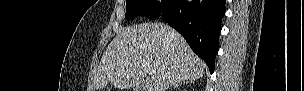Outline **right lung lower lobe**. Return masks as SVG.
I'll use <instances>...</instances> for the list:
<instances>
[{
	"label": "right lung lower lobe",
	"mask_w": 304,
	"mask_h": 91,
	"mask_svg": "<svg viewBox=\"0 0 304 91\" xmlns=\"http://www.w3.org/2000/svg\"><path fill=\"white\" fill-rule=\"evenodd\" d=\"M225 0H169L159 17L176 29L214 71Z\"/></svg>",
	"instance_id": "98d812e1"
}]
</instances>
